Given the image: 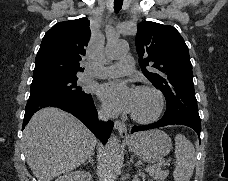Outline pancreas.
<instances>
[{
    "instance_id": "cf45deb5",
    "label": "pancreas",
    "mask_w": 228,
    "mask_h": 181,
    "mask_svg": "<svg viewBox=\"0 0 228 181\" xmlns=\"http://www.w3.org/2000/svg\"><path fill=\"white\" fill-rule=\"evenodd\" d=\"M151 177H154V179H161V181H164L166 177L169 175V171H161V169H153V171H150Z\"/></svg>"
}]
</instances>
